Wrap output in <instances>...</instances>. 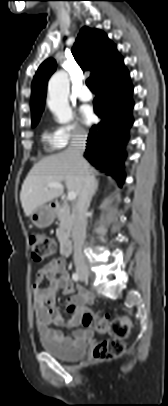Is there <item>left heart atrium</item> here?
Masks as SVG:
<instances>
[{
	"mask_svg": "<svg viewBox=\"0 0 168 406\" xmlns=\"http://www.w3.org/2000/svg\"><path fill=\"white\" fill-rule=\"evenodd\" d=\"M82 120L86 125L93 123L95 115L91 106L84 105L80 109Z\"/></svg>",
	"mask_w": 168,
	"mask_h": 406,
	"instance_id": "1",
	"label": "left heart atrium"
}]
</instances>
